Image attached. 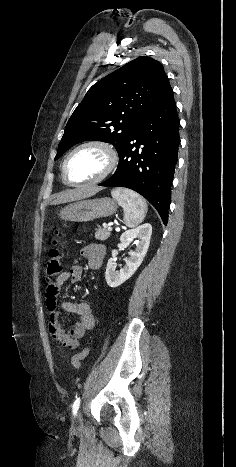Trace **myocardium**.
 I'll return each instance as SVG.
<instances>
[{"instance_id":"myocardium-1","label":"myocardium","mask_w":236,"mask_h":467,"mask_svg":"<svg viewBox=\"0 0 236 467\" xmlns=\"http://www.w3.org/2000/svg\"><path fill=\"white\" fill-rule=\"evenodd\" d=\"M88 147L98 148L104 152L107 158L106 168L98 177H96L93 180H90L87 182H73L68 177V171H67L68 163L76 152H78L81 149L88 148ZM118 162H119V155H118L116 148L114 147L112 143L105 141V140H90V141H87V142H84L78 145L67 155L62 165V177H63L64 182L69 186L82 187V186L97 184L99 182H102L103 180H105L107 177H109L112 174V172L116 169Z\"/></svg>"}]
</instances>
